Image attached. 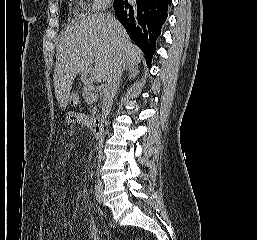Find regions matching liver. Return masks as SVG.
I'll list each match as a JSON object with an SVG mask.
<instances>
[{
  "label": "liver",
  "mask_w": 257,
  "mask_h": 240,
  "mask_svg": "<svg viewBox=\"0 0 257 240\" xmlns=\"http://www.w3.org/2000/svg\"><path fill=\"white\" fill-rule=\"evenodd\" d=\"M117 44L122 64L130 69L136 67L143 55L112 15L80 14L79 21L65 28L57 46L53 75L55 95L62 108L68 105L78 74H82L83 81H88V74L98 82L107 80Z\"/></svg>",
  "instance_id": "liver-1"
}]
</instances>
